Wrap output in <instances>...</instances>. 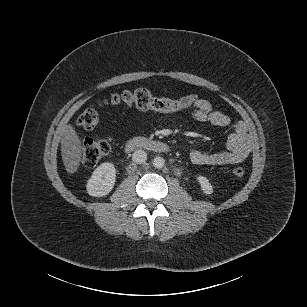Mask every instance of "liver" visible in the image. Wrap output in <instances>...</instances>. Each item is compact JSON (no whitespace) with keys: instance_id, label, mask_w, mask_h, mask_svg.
I'll list each match as a JSON object with an SVG mask.
<instances>
[{"instance_id":"6515ba94","label":"liver","mask_w":307,"mask_h":307,"mask_svg":"<svg viewBox=\"0 0 307 307\" xmlns=\"http://www.w3.org/2000/svg\"><path fill=\"white\" fill-rule=\"evenodd\" d=\"M84 151L85 148L74 126L70 123L65 125L62 130L61 157L69 175H74L78 171Z\"/></svg>"}]
</instances>
